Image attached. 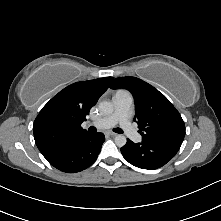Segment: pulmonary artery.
Segmentation results:
<instances>
[{"mask_svg": "<svg viewBox=\"0 0 221 221\" xmlns=\"http://www.w3.org/2000/svg\"><path fill=\"white\" fill-rule=\"evenodd\" d=\"M114 111L105 117L89 122L90 126L107 129L119 124L127 136L134 142H140L142 137L131 123L133 97L127 91H117L113 98Z\"/></svg>", "mask_w": 221, "mask_h": 221, "instance_id": "1", "label": "pulmonary artery"}]
</instances>
